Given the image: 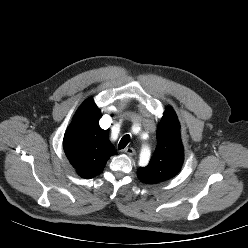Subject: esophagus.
<instances>
[{"instance_id": "obj_1", "label": "esophagus", "mask_w": 248, "mask_h": 248, "mask_svg": "<svg viewBox=\"0 0 248 248\" xmlns=\"http://www.w3.org/2000/svg\"><path fill=\"white\" fill-rule=\"evenodd\" d=\"M127 155L132 156L135 154V150L132 147H127L123 150Z\"/></svg>"}]
</instances>
